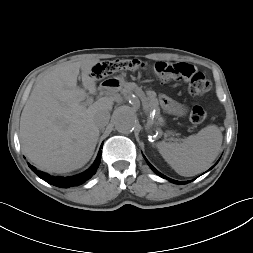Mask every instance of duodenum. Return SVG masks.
<instances>
[{
	"mask_svg": "<svg viewBox=\"0 0 253 253\" xmlns=\"http://www.w3.org/2000/svg\"><path fill=\"white\" fill-rule=\"evenodd\" d=\"M114 81H105L103 82L100 87H99V90L101 92H105V91H108L110 89V87L112 86H115V84L113 83Z\"/></svg>",
	"mask_w": 253,
	"mask_h": 253,
	"instance_id": "1",
	"label": "duodenum"
}]
</instances>
